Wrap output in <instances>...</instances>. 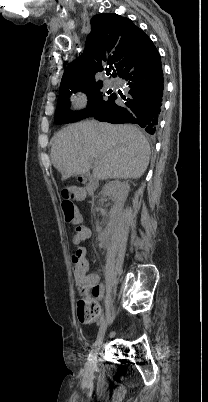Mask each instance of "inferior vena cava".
Instances as JSON below:
<instances>
[{
    "label": "inferior vena cava",
    "mask_w": 208,
    "mask_h": 402,
    "mask_svg": "<svg viewBox=\"0 0 208 402\" xmlns=\"http://www.w3.org/2000/svg\"><path fill=\"white\" fill-rule=\"evenodd\" d=\"M93 126H95V124H97V122H95V120H91Z\"/></svg>",
    "instance_id": "obj_1"
}]
</instances>
